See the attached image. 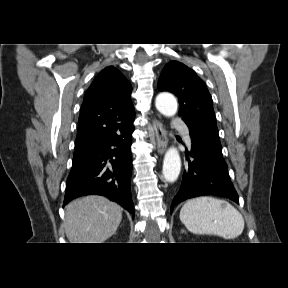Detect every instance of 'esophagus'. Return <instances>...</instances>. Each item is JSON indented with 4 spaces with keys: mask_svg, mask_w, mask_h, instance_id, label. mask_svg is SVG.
Listing matches in <instances>:
<instances>
[{
    "mask_svg": "<svg viewBox=\"0 0 288 288\" xmlns=\"http://www.w3.org/2000/svg\"><path fill=\"white\" fill-rule=\"evenodd\" d=\"M153 128L155 132L157 150L159 154H163L168 144L166 131L161 122L158 120L153 121Z\"/></svg>",
    "mask_w": 288,
    "mask_h": 288,
    "instance_id": "esophagus-1",
    "label": "esophagus"
}]
</instances>
